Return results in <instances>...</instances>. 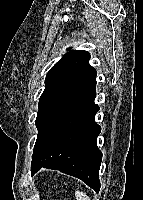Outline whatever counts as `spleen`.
Wrapping results in <instances>:
<instances>
[{"label": "spleen", "mask_w": 143, "mask_h": 200, "mask_svg": "<svg viewBox=\"0 0 143 200\" xmlns=\"http://www.w3.org/2000/svg\"><path fill=\"white\" fill-rule=\"evenodd\" d=\"M76 199L77 200H91L89 196L85 192L77 191L76 192Z\"/></svg>", "instance_id": "obj_1"}]
</instances>
